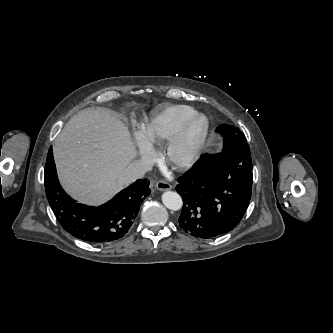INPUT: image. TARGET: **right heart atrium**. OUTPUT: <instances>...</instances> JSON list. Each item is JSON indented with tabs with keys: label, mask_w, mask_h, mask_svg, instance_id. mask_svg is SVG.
Here are the masks:
<instances>
[{
	"label": "right heart atrium",
	"mask_w": 333,
	"mask_h": 333,
	"mask_svg": "<svg viewBox=\"0 0 333 333\" xmlns=\"http://www.w3.org/2000/svg\"><path fill=\"white\" fill-rule=\"evenodd\" d=\"M137 138H138V141H139V146H140V154L141 156L145 159V160H149V159H152L153 157V151L151 149V147L145 143L140 135V133L138 132L137 133Z\"/></svg>",
	"instance_id": "d8ad5b80"
}]
</instances>
